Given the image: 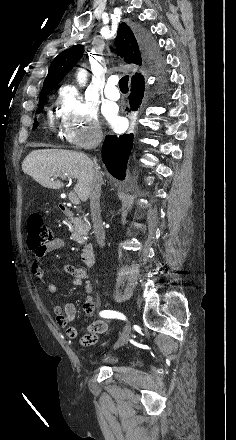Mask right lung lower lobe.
I'll use <instances>...</instances> for the list:
<instances>
[{"label":"right lung lower lobe","mask_w":236,"mask_h":440,"mask_svg":"<svg viewBox=\"0 0 236 440\" xmlns=\"http://www.w3.org/2000/svg\"><path fill=\"white\" fill-rule=\"evenodd\" d=\"M142 53L152 72L160 75L163 69V58L156 43L146 33L139 35ZM145 92L144 79L131 84L129 102L131 110H138L143 103ZM128 110V109H127ZM133 146V134L120 136L107 135L103 143L102 160L108 171L117 179L124 180L127 161Z\"/></svg>","instance_id":"right-lung-lower-lobe-1"}]
</instances>
